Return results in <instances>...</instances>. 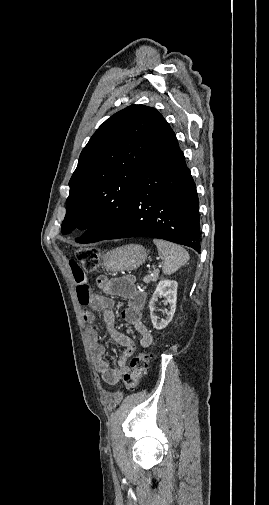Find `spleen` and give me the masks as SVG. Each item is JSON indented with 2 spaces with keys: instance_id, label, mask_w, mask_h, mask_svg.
<instances>
[{
  "instance_id": "obj_1",
  "label": "spleen",
  "mask_w": 269,
  "mask_h": 505,
  "mask_svg": "<svg viewBox=\"0 0 269 505\" xmlns=\"http://www.w3.org/2000/svg\"><path fill=\"white\" fill-rule=\"evenodd\" d=\"M153 242L160 258L164 260V274L170 275L188 262L189 254L182 246L162 239H153Z\"/></svg>"
}]
</instances>
